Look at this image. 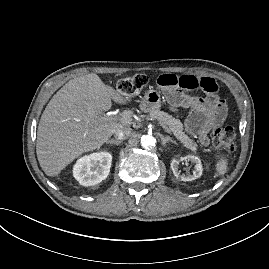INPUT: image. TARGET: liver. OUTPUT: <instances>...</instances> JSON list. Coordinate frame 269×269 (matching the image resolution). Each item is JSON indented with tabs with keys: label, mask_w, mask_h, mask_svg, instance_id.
<instances>
[{
	"label": "liver",
	"mask_w": 269,
	"mask_h": 269,
	"mask_svg": "<svg viewBox=\"0 0 269 269\" xmlns=\"http://www.w3.org/2000/svg\"><path fill=\"white\" fill-rule=\"evenodd\" d=\"M112 100L128 103L94 73L71 79L52 97L41 116L36 143L47 176L58 175L80 155L100 148L117 130L132 124L130 110L123 111L119 121L103 116Z\"/></svg>",
	"instance_id": "obj_1"
}]
</instances>
